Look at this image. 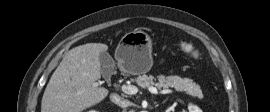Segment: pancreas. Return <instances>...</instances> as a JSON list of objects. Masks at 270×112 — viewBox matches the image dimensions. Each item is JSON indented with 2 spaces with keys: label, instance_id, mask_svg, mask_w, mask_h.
Returning a JSON list of instances; mask_svg holds the SVG:
<instances>
[{
  "label": "pancreas",
  "instance_id": "1",
  "mask_svg": "<svg viewBox=\"0 0 270 112\" xmlns=\"http://www.w3.org/2000/svg\"><path fill=\"white\" fill-rule=\"evenodd\" d=\"M136 83L143 87H157L158 89L174 88L178 91H185L187 94L197 97L199 99L203 98V93L195 82L189 78H181L177 75L162 76L159 81L156 82V78L152 75H140L136 78Z\"/></svg>",
  "mask_w": 270,
  "mask_h": 112
}]
</instances>
